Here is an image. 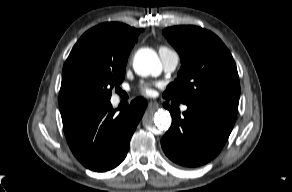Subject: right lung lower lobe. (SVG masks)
<instances>
[{"instance_id":"right-lung-lower-lobe-1","label":"right lung lower lobe","mask_w":292,"mask_h":192,"mask_svg":"<svg viewBox=\"0 0 292 192\" xmlns=\"http://www.w3.org/2000/svg\"><path fill=\"white\" fill-rule=\"evenodd\" d=\"M146 106L143 98H136L116 114L110 100L76 95L59 97L70 149L86 168L98 172L111 170L125 159Z\"/></svg>"}]
</instances>
